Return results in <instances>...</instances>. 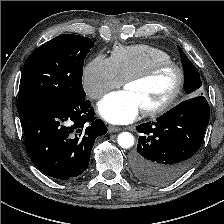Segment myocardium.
Returning <instances> with one entry per match:
<instances>
[{
	"label": "myocardium",
	"mask_w": 224,
	"mask_h": 224,
	"mask_svg": "<svg viewBox=\"0 0 224 224\" xmlns=\"http://www.w3.org/2000/svg\"><path fill=\"white\" fill-rule=\"evenodd\" d=\"M165 69H172L175 71L176 73L175 87L170 96L164 102L155 107L143 109L142 113L145 116H156L166 112L171 107H173V105L177 102L178 98L180 97L184 87L185 82L184 69L179 64L172 61L158 62L152 64L151 66H149L148 68L139 73L131 75L124 81V87H126L128 84L131 83L146 81Z\"/></svg>",
	"instance_id": "1"
}]
</instances>
